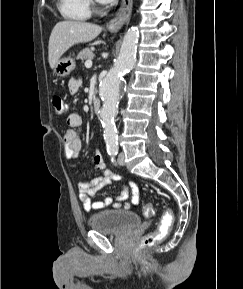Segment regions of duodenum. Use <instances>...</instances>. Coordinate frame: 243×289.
Instances as JSON below:
<instances>
[{"instance_id": "410a0bca", "label": "duodenum", "mask_w": 243, "mask_h": 289, "mask_svg": "<svg viewBox=\"0 0 243 289\" xmlns=\"http://www.w3.org/2000/svg\"><path fill=\"white\" fill-rule=\"evenodd\" d=\"M92 106H93V111L95 113H98L101 109V101L98 97H94L93 102H92Z\"/></svg>"}]
</instances>
